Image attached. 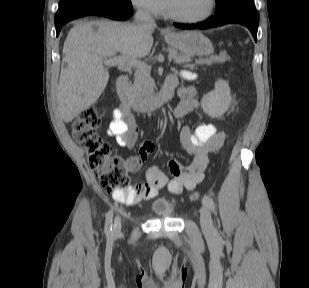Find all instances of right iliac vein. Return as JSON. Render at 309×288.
I'll list each match as a JSON object with an SVG mask.
<instances>
[{"instance_id": "63e3f726", "label": "right iliac vein", "mask_w": 309, "mask_h": 288, "mask_svg": "<svg viewBox=\"0 0 309 288\" xmlns=\"http://www.w3.org/2000/svg\"><path fill=\"white\" fill-rule=\"evenodd\" d=\"M120 230H121V222L120 218L117 217L114 225V234L115 235L119 234Z\"/></svg>"}]
</instances>
